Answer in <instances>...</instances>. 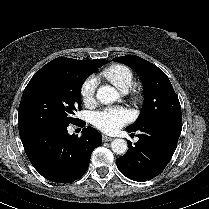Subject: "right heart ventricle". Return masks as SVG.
Masks as SVG:
<instances>
[{
	"instance_id": "e07e8e85",
	"label": "right heart ventricle",
	"mask_w": 209,
	"mask_h": 209,
	"mask_svg": "<svg viewBox=\"0 0 209 209\" xmlns=\"http://www.w3.org/2000/svg\"><path fill=\"white\" fill-rule=\"evenodd\" d=\"M104 76L122 92L129 91L134 84L132 71L124 65H113L109 67L104 72Z\"/></svg>"
}]
</instances>
